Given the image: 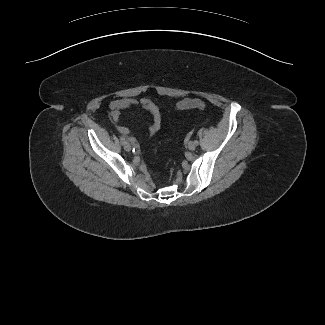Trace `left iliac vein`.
Returning a JSON list of instances; mask_svg holds the SVG:
<instances>
[{
  "label": "left iliac vein",
  "instance_id": "1",
  "mask_svg": "<svg viewBox=\"0 0 325 325\" xmlns=\"http://www.w3.org/2000/svg\"><path fill=\"white\" fill-rule=\"evenodd\" d=\"M187 147L189 150L193 151V150H195L196 145L193 141H189Z\"/></svg>",
  "mask_w": 325,
  "mask_h": 325
}]
</instances>
